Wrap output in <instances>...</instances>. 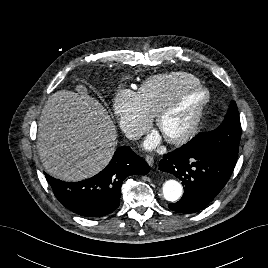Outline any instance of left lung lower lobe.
Listing matches in <instances>:
<instances>
[{
    "label": "left lung lower lobe",
    "mask_w": 268,
    "mask_h": 268,
    "mask_svg": "<svg viewBox=\"0 0 268 268\" xmlns=\"http://www.w3.org/2000/svg\"><path fill=\"white\" fill-rule=\"evenodd\" d=\"M236 161L221 154L193 151L183 146L164 155L159 169L174 174L184 185L182 198L168 207L186 214L203 209L225 186Z\"/></svg>",
    "instance_id": "0a47b994"
}]
</instances>
